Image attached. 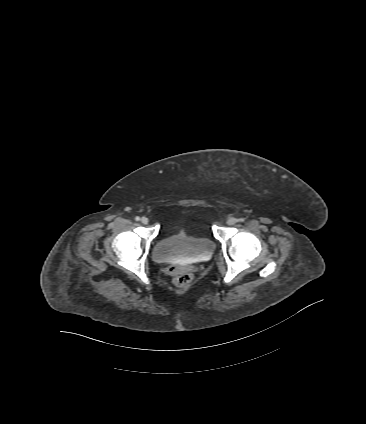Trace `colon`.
Instances as JSON below:
<instances>
[{"mask_svg": "<svg viewBox=\"0 0 366 424\" xmlns=\"http://www.w3.org/2000/svg\"><path fill=\"white\" fill-rule=\"evenodd\" d=\"M174 274V282L178 287H186L191 282V274L182 267H174L172 269Z\"/></svg>", "mask_w": 366, "mask_h": 424, "instance_id": "colon-1", "label": "colon"}]
</instances>
